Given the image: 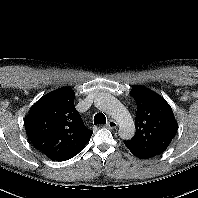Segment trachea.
I'll return each instance as SVG.
<instances>
[{"instance_id": "trachea-1", "label": "trachea", "mask_w": 198, "mask_h": 198, "mask_svg": "<svg viewBox=\"0 0 198 198\" xmlns=\"http://www.w3.org/2000/svg\"><path fill=\"white\" fill-rule=\"evenodd\" d=\"M106 123V117L103 113H97L94 116V124H105Z\"/></svg>"}]
</instances>
